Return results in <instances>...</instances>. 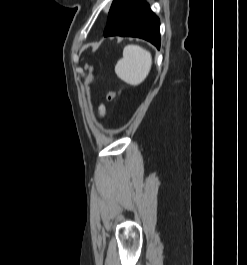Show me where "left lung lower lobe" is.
<instances>
[{
    "label": "left lung lower lobe",
    "instance_id": "obj_1",
    "mask_svg": "<svg viewBox=\"0 0 247 265\" xmlns=\"http://www.w3.org/2000/svg\"><path fill=\"white\" fill-rule=\"evenodd\" d=\"M160 22L144 0H114L104 36L143 38L160 47Z\"/></svg>",
    "mask_w": 247,
    "mask_h": 265
}]
</instances>
